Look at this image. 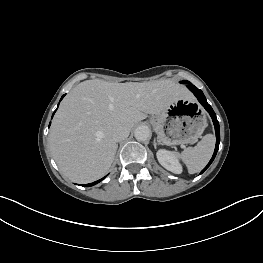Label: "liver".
I'll return each mask as SVG.
<instances>
[{
	"label": "liver",
	"mask_w": 263,
	"mask_h": 263,
	"mask_svg": "<svg viewBox=\"0 0 263 263\" xmlns=\"http://www.w3.org/2000/svg\"><path fill=\"white\" fill-rule=\"evenodd\" d=\"M170 80L115 83L100 79L78 84L62 101L52 121L49 144L60 171L76 183H89L110 168L117 150L112 130L131 128L148 114L188 98Z\"/></svg>",
	"instance_id": "obj_1"
}]
</instances>
